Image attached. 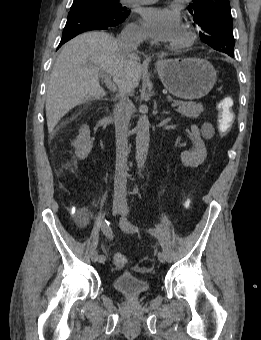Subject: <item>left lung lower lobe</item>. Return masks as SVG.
<instances>
[{
    "mask_svg": "<svg viewBox=\"0 0 261 340\" xmlns=\"http://www.w3.org/2000/svg\"><path fill=\"white\" fill-rule=\"evenodd\" d=\"M229 56H231V57H233L234 56V53H231V52H229V53H227Z\"/></svg>",
    "mask_w": 261,
    "mask_h": 340,
    "instance_id": "left-lung-lower-lobe-1",
    "label": "left lung lower lobe"
}]
</instances>
